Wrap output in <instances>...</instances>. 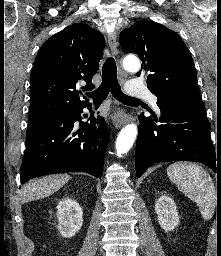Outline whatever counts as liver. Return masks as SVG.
Listing matches in <instances>:
<instances>
[{
	"mask_svg": "<svg viewBox=\"0 0 221 256\" xmlns=\"http://www.w3.org/2000/svg\"><path fill=\"white\" fill-rule=\"evenodd\" d=\"M71 177L67 174H55L35 179L25 184L20 191L22 202L47 197L58 191Z\"/></svg>",
	"mask_w": 221,
	"mask_h": 256,
	"instance_id": "obj_1",
	"label": "liver"
}]
</instances>
